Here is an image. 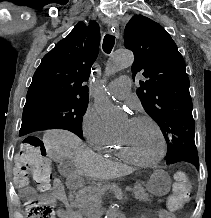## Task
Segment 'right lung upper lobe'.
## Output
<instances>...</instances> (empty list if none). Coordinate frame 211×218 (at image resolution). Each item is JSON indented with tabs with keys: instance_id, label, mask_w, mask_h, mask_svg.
<instances>
[{
	"instance_id": "obj_1",
	"label": "right lung upper lobe",
	"mask_w": 211,
	"mask_h": 218,
	"mask_svg": "<svg viewBox=\"0 0 211 218\" xmlns=\"http://www.w3.org/2000/svg\"><path fill=\"white\" fill-rule=\"evenodd\" d=\"M100 31L94 21L79 22L70 34L47 53L28 89L26 102L61 98L88 101L91 66L99 51Z\"/></svg>"
}]
</instances>
